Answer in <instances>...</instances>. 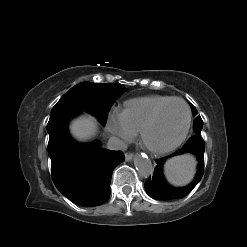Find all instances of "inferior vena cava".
I'll return each instance as SVG.
<instances>
[{
  "instance_id": "obj_1",
  "label": "inferior vena cava",
  "mask_w": 247,
  "mask_h": 247,
  "mask_svg": "<svg viewBox=\"0 0 247 247\" xmlns=\"http://www.w3.org/2000/svg\"><path fill=\"white\" fill-rule=\"evenodd\" d=\"M107 148L110 150L125 151L127 149V144L123 140H121L117 137H111L108 140Z\"/></svg>"
}]
</instances>
